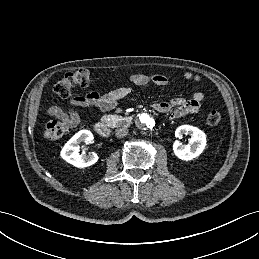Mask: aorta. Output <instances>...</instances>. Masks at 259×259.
Segmentation results:
<instances>
[{
  "mask_svg": "<svg viewBox=\"0 0 259 259\" xmlns=\"http://www.w3.org/2000/svg\"><path fill=\"white\" fill-rule=\"evenodd\" d=\"M155 125V121L150 114L144 113L140 115L138 119V126L143 129L153 128Z\"/></svg>",
  "mask_w": 259,
  "mask_h": 259,
  "instance_id": "1",
  "label": "aorta"
}]
</instances>
